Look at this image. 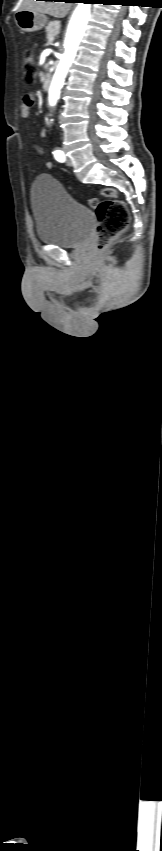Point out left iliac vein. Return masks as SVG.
<instances>
[{
    "label": "left iliac vein",
    "instance_id": "left-iliac-vein-1",
    "mask_svg": "<svg viewBox=\"0 0 162 851\" xmlns=\"http://www.w3.org/2000/svg\"><path fill=\"white\" fill-rule=\"evenodd\" d=\"M66 164H67L68 166H72V161H71V159H70L69 157H66Z\"/></svg>",
    "mask_w": 162,
    "mask_h": 851
}]
</instances>
